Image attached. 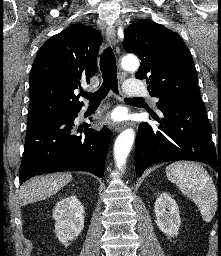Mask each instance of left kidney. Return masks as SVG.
Listing matches in <instances>:
<instances>
[{
	"mask_svg": "<svg viewBox=\"0 0 221 256\" xmlns=\"http://www.w3.org/2000/svg\"><path fill=\"white\" fill-rule=\"evenodd\" d=\"M154 212L158 228L166 235L173 237L179 234L181 224L178 205L168 194L162 193L155 202Z\"/></svg>",
	"mask_w": 221,
	"mask_h": 256,
	"instance_id": "obj_1",
	"label": "left kidney"
}]
</instances>
